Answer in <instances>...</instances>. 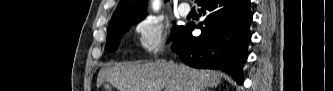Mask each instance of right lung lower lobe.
<instances>
[{"label":"right lung lower lobe","instance_id":"obj_1","mask_svg":"<svg viewBox=\"0 0 333 91\" xmlns=\"http://www.w3.org/2000/svg\"><path fill=\"white\" fill-rule=\"evenodd\" d=\"M206 19L198 26L188 23L174 38L171 49L189 66L221 69L242 83L252 21L250 0H200ZM201 35L192 36V30Z\"/></svg>","mask_w":333,"mask_h":91}]
</instances>
